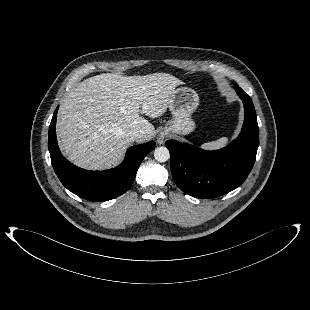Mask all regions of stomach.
Masks as SVG:
<instances>
[{"instance_id":"stomach-1","label":"stomach","mask_w":310,"mask_h":310,"mask_svg":"<svg viewBox=\"0 0 310 310\" xmlns=\"http://www.w3.org/2000/svg\"><path fill=\"white\" fill-rule=\"evenodd\" d=\"M199 106V96L189 87H178L174 90L168 102L172 119L164 127V131L173 134L186 135L195 129L191 115Z\"/></svg>"}]
</instances>
